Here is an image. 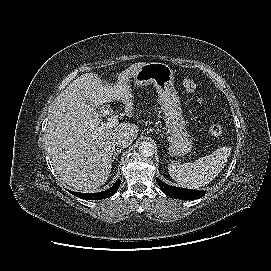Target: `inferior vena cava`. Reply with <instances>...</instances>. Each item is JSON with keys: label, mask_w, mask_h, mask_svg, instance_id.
<instances>
[{"label": "inferior vena cava", "mask_w": 271, "mask_h": 271, "mask_svg": "<svg viewBox=\"0 0 271 271\" xmlns=\"http://www.w3.org/2000/svg\"><path fill=\"white\" fill-rule=\"evenodd\" d=\"M113 142L118 147L126 148L131 145L132 138L128 133L122 132L115 136Z\"/></svg>", "instance_id": "inferior-vena-cava-1"}]
</instances>
